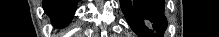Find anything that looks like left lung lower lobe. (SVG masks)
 Instances as JSON below:
<instances>
[{
    "mask_svg": "<svg viewBox=\"0 0 219 37\" xmlns=\"http://www.w3.org/2000/svg\"><path fill=\"white\" fill-rule=\"evenodd\" d=\"M164 0H120L121 9L140 37H163L167 28Z\"/></svg>",
    "mask_w": 219,
    "mask_h": 37,
    "instance_id": "1",
    "label": "left lung lower lobe"
}]
</instances>
